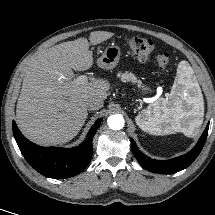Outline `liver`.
Returning a JSON list of instances; mask_svg holds the SVG:
<instances>
[{
	"label": "liver",
	"instance_id": "1",
	"mask_svg": "<svg viewBox=\"0 0 215 215\" xmlns=\"http://www.w3.org/2000/svg\"><path fill=\"white\" fill-rule=\"evenodd\" d=\"M114 33L94 31L89 41L78 38L38 51L28 62L17 101L16 118L21 132L39 145L63 144L74 138L88 115L87 99L103 101L109 89L105 79L77 84L73 71L93 64L90 45L110 39Z\"/></svg>",
	"mask_w": 215,
	"mask_h": 215
}]
</instances>
